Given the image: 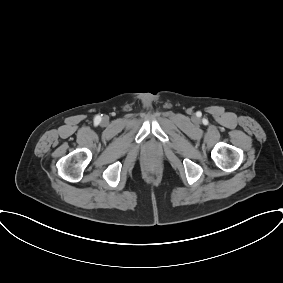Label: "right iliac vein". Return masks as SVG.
<instances>
[{
    "label": "right iliac vein",
    "instance_id": "63e3f726",
    "mask_svg": "<svg viewBox=\"0 0 283 283\" xmlns=\"http://www.w3.org/2000/svg\"><path fill=\"white\" fill-rule=\"evenodd\" d=\"M103 122H106V119H105V118L103 119Z\"/></svg>",
    "mask_w": 283,
    "mask_h": 283
}]
</instances>
